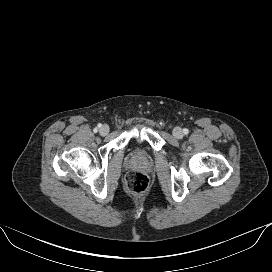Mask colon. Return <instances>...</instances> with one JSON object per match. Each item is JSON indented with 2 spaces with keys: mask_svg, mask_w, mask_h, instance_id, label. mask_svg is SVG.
<instances>
[{
  "mask_svg": "<svg viewBox=\"0 0 272 272\" xmlns=\"http://www.w3.org/2000/svg\"><path fill=\"white\" fill-rule=\"evenodd\" d=\"M124 184L129 193L140 196L148 190L149 178L140 172H129L125 177Z\"/></svg>",
  "mask_w": 272,
  "mask_h": 272,
  "instance_id": "5ec220e1",
  "label": "colon"
}]
</instances>
